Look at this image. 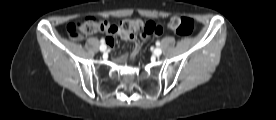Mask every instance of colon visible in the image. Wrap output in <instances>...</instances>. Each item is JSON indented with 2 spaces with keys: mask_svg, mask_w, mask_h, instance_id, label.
I'll return each mask as SVG.
<instances>
[{
  "mask_svg": "<svg viewBox=\"0 0 276 120\" xmlns=\"http://www.w3.org/2000/svg\"><path fill=\"white\" fill-rule=\"evenodd\" d=\"M167 26L180 36H190L195 27L194 21L184 16L170 18ZM98 31L110 34L117 33L122 38L127 39L133 37L136 33H142L150 37L158 36L161 33V27L151 21L144 22L140 19H124L115 24L95 16L67 26V33L73 40L81 39L83 34L91 35Z\"/></svg>",
  "mask_w": 276,
  "mask_h": 120,
  "instance_id": "1",
  "label": "colon"
}]
</instances>
